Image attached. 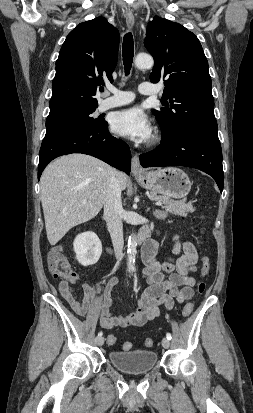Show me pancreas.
<instances>
[{
    "label": "pancreas",
    "mask_w": 253,
    "mask_h": 413,
    "mask_svg": "<svg viewBox=\"0 0 253 413\" xmlns=\"http://www.w3.org/2000/svg\"><path fill=\"white\" fill-rule=\"evenodd\" d=\"M150 196L163 204L162 208L165 209V217L168 213L186 217L188 212L192 213L195 211L191 202L174 201L167 196L157 195L155 192H151Z\"/></svg>",
    "instance_id": "obj_1"
}]
</instances>
